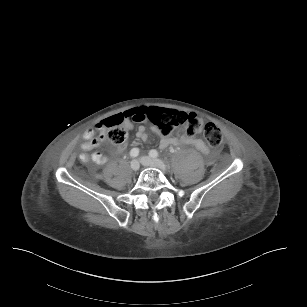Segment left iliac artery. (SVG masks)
<instances>
[{"mask_svg":"<svg viewBox=\"0 0 307 307\" xmlns=\"http://www.w3.org/2000/svg\"><path fill=\"white\" fill-rule=\"evenodd\" d=\"M149 156L152 157V158H156V157H158V152L156 150H151L149 152Z\"/></svg>","mask_w":307,"mask_h":307,"instance_id":"1","label":"left iliac artery"}]
</instances>
